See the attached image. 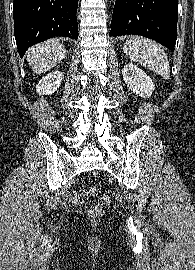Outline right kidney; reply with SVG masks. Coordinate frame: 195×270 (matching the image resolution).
<instances>
[{"label":"right kidney","mask_w":195,"mask_h":270,"mask_svg":"<svg viewBox=\"0 0 195 270\" xmlns=\"http://www.w3.org/2000/svg\"><path fill=\"white\" fill-rule=\"evenodd\" d=\"M64 75L60 71H54L43 77L38 85L36 91L39 95L41 94H53L60 87Z\"/></svg>","instance_id":"1"}]
</instances>
